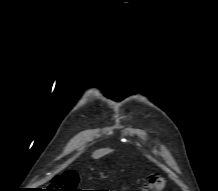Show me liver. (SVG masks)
I'll return each mask as SVG.
<instances>
[{
  "instance_id": "1",
  "label": "liver",
  "mask_w": 218,
  "mask_h": 191,
  "mask_svg": "<svg viewBox=\"0 0 218 191\" xmlns=\"http://www.w3.org/2000/svg\"><path fill=\"white\" fill-rule=\"evenodd\" d=\"M111 150L110 149H99L95 152H93L92 156L93 158L97 159V158H100L108 153H110Z\"/></svg>"
}]
</instances>
